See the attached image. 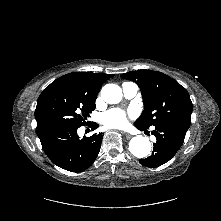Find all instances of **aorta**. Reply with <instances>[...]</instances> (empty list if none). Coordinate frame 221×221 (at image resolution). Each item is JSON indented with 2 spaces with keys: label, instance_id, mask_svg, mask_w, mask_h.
<instances>
[{
  "label": "aorta",
  "instance_id": "aorta-1",
  "mask_svg": "<svg viewBox=\"0 0 221 221\" xmlns=\"http://www.w3.org/2000/svg\"><path fill=\"white\" fill-rule=\"evenodd\" d=\"M101 97L109 104L119 103L122 99V90L116 84H106L101 90ZM129 151L137 158H145L151 153L149 138L138 135L129 142Z\"/></svg>",
  "mask_w": 221,
  "mask_h": 221
}]
</instances>
